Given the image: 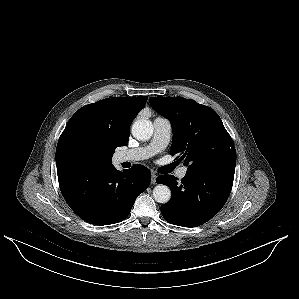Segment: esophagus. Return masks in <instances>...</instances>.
Returning <instances> with one entry per match:
<instances>
[{
    "instance_id": "34e87169",
    "label": "esophagus",
    "mask_w": 299,
    "mask_h": 299,
    "mask_svg": "<svg viewBox=\"0 0 299 299\" xmlns=\"http://www.w3.org/2000/svg\"><path fill=\"white\" fill-rule=\"evenodd\" d=\"M156 178H157L156 173L152 172V174H151V184H156Z\"/></svg>"
}]
</instances>
